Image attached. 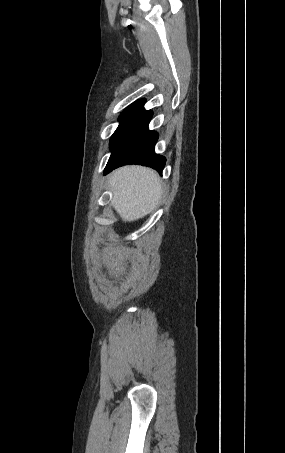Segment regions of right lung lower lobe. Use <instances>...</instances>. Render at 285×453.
Instances as JSON below:
<instances>
[{
	"instance_id": "right-lung-lower-lobe-1",
	"label": "right lung lower lobe",
	"mask_w": 285,
	"mask_h": 453,
	"mask_svg": "<svg viewBox=\"0 0 285 453\" xmlns=\"http://www.w3.org/2000/svg\"><path fill=\"white\" fill-rule=\"evenodd\" d=\"M144 103L145 99L137 100L120 115V124L110 139L112 154L104 175L127 164L148 166L162 173L166 159L154 151L158 133L148 129L153 113L144 109Z\"/></svg>"
}]
</instances>
